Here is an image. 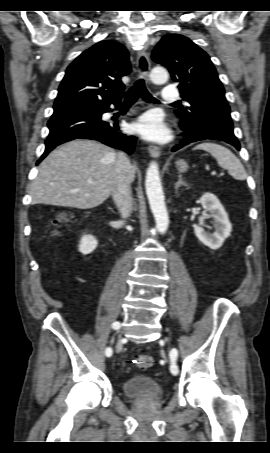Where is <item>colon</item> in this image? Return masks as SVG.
Returning <instances> with one entry per match:
<instances>
[{"label": "colon", "instance_id": "colon-1", "mask_svg": "<svg viewBox=\"0 0 270 453\" xmlns=\"http://www.w3.org/2000/svg\"><path fill=\"white\" fill-rule=\"evenodd\" d=\"M64 220H65L64 217H59L55 221L56 226H61L63 224ZM134 361H135L136 367L140 370H146L153 365V357L147 353L138 354L135 357Z\"/></svg>", "mask_w": 270, "mask_h": 453}]
</instances>
